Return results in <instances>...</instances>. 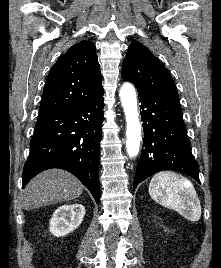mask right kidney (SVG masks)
<instances>
[{"label":"right kidney","mask_w":221,"mask_h":268,"mask_svg":"<svg viewBox=\"0 0 221 268\" xmlns=\"http://www.w3.org/2000/svg\"><path fill=\"white\" fill-rule=\"evenodd\" d=\"M84 215L83 205H63L53 213L50 219V232L57 237L65 236L79 227Z\"/></svg>","instance_id":"1"}]
</instances>
